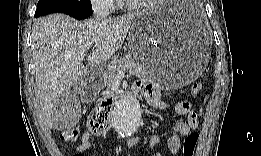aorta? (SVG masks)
<instances>
[{"instance_id":"obj_1","label":"aorta","mask_w":261,"mask_h":156,"mask_svg":"<svg viewBox=\"0 0 261 156\" xmlns=\"http://www.w3.org/2000/svg\"><path fill=\"white\" fill-rule=\"evenodd\" d=\"M112 124L121 137H130L136 134L141 126L139 101L133 96L121 99L113 111Z\"/></svg>"}]
</instances>
